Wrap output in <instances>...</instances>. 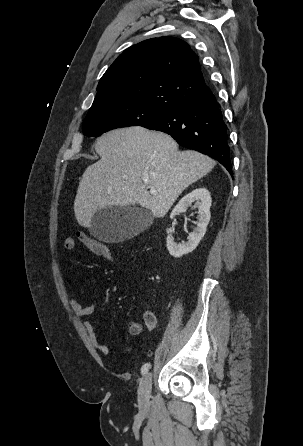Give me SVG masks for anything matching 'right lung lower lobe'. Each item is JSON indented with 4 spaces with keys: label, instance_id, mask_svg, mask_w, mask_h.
<instances>
[{
    "label": "right lung lower lobe",
    "instance_id": "right-lung-lower-lobe-1",
    "mask_svg": "<svg viewBox=\"0 0 303 446\" xmlns=\"http://www.w3.org/2000/svg\"><path fill=\"white\" fill-rule=\"evenodd\" d=\"M140 126L171 135L181 146L212 157L232 174L227 126L212 91L178 104Z\"/></svg>",
    "mask_w": 303,
    "mask_h": 446
}]
</instances>
